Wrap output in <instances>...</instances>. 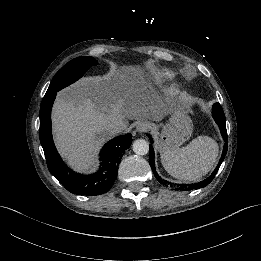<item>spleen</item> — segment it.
<instances>
[{
	"mask_svg": "<svg viewBox=\"0 0 261 261\" xmlns=\"http://www.w3.org/2000/svg\"><path fill=\"white\" fill-rule=\"evenodd\" d=\"M218 152L219 146L214 139L199 136L186 147L162 154L161 163L174 178L198 182L213 168Z\"/></svg>",
	"mask_w": 261,
	"mask_h": 261,
	"instance_id": "1",
	"label": "spleen"
}]
</instances>
